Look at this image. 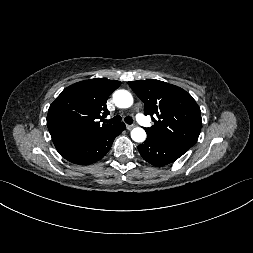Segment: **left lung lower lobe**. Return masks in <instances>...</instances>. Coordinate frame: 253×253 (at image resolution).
I'll return each instance as SVG.
<instances>
[{
    "instance_id": "left-lung-lower-lobe-1",
    "label": "left lung lower lobe",
    "mask_w": 253,
    "mask_h": 253,
    "mask_svg": "<svg viewBox=\"0 0 253 253\" xmlns=\"http://www.w3.org/2000/svg\"><path fill=\"white\" fill-rule=\"evenodd\" d=\"M189 148L147 134L146 141L138 146V150L144 160L156 167H162L176 161Z\"/></svg>"
}]
</instances>
